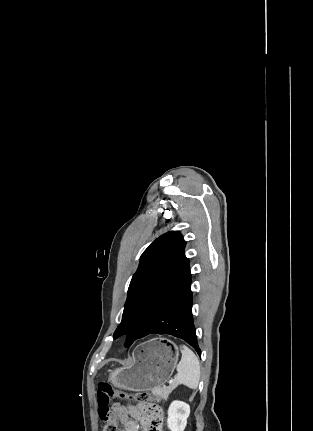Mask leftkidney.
<instances>
[{"label":"left kidney","instance_id":"left-kidney-1","mask_svg":"<svg viewBox=\"0 0 313 431\" xmlns=\"http://www.w3.org/2000/svg\"><path fill=\"white\" fill-rule=\"evenodd\" d=\"M190 414V406L182 401H173L168 409L167 425L170 431H184L187 418Z\"/></svg>","mask_w":313,"mask_h":431}]
</instances>
